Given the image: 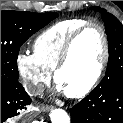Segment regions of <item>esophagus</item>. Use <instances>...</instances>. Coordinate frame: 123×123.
Masks as SVG:
<instances>
[{"mask_svg":"<svg viewBox=\"0 0 123 123\" xmlns=\"http://www.w3.org/2000/svg\"><path fill=\"white\" fill-rule=\"evenodd\" d=\"M52 109H53V106H50V105H42L41 106V110L44 111V112H48Z\"/></svg>","mask_w":123,"mask_h":123,"instance_id":"34e87169","label":"esophagus"}]
</instances>
